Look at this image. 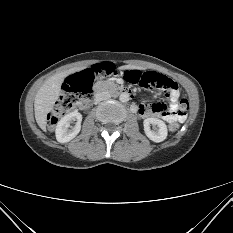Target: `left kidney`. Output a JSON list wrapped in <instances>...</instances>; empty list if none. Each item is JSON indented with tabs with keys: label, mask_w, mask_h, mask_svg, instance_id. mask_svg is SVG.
Returning a JSON list of instances; mask_svg holds the SVG:
<instances>
[{
	"label": "left kidney",
	"mask_w": 233,
	"mask_h": 233,
	"mask_svg": "<svg viewBox=\"0 0 233 233\" xmlns=\"http://www.w3.org/2000/svg\"><path fill=\"white\" fill-rule=\"evenodd\" d=\"M146 136L154 142H162L167 137V126L164 121L158 118H146L143 122ZM153 126L154 130L150 126Z\"/></svg>",
	"instance_id": "obj_1"
}]
</instances>
